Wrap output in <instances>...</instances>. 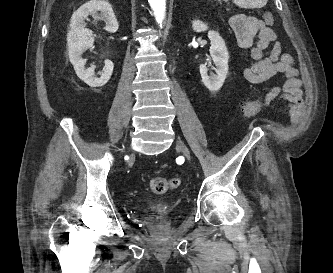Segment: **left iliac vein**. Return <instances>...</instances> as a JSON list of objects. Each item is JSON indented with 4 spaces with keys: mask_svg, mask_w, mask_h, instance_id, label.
Instances as JSON below:
<instances>
[{
    "mask_svg": "<svg viewBox=\"0 0 333 273\" xmlns=\"http://www.w3.org/2000/svg\"><path fill=\"white\" fill-rule=\"evenodd\" d=\"M177 147L182 151L183 155L186 157L188 162H191L190 152L186 147V145L180 139L177 140Z\"/></svg>",
    "mask_w": 333,
    "mask_h": 273,
    "instance_id": "left-iliac-vein-1",
    "label": "left iliac vein"
}]
</instances>
